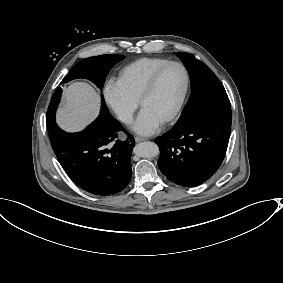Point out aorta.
Wrapping results in <instances>:
<instances>
[{
    "mask_svg": "<svg viewBox=\"0 0 283 283\" xmlns=\"http://www.w3.org/2000/svg\"><path fill=\"white\" fill-rule=\"evenodd\" d=\"M134 153L139 157L152 158L159 154V148L154 142H142L135 146Z\"/></svg>",
    "mask_w": 283,
    "mask_h": 283,
    "instance_id": "1",
    "label": "aorta"
}]
</instances>
